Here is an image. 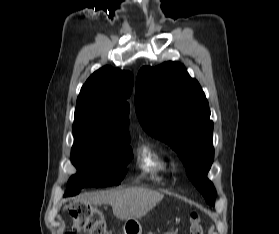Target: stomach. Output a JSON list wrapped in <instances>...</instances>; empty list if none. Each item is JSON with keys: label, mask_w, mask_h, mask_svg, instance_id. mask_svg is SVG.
Listing matches in <instances>:
<instances>
[{"label": "stomach", "mask_w": 279, "mask_h": 234, "mask_svg": "<svg viewBox=\"0 0 279 234\" xmlns=\"http://www.w3.org/2000/svg\"><path fill=\"white\" fill-rule=\"evenodd\" d=\"M124 234H142V227L138 220L130 219L127 220L123 227ZM166 234H175L174 232H169Z\"/></svg>", "instance_id": "obj_1"}]
</instances>
